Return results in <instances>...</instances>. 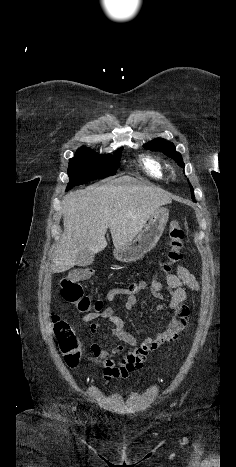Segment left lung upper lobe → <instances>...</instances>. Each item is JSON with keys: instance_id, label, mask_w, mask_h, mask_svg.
<instances>
[{"instance_id": "obj_1", "label": "left lung upper lobe", "mask_w": 236, "mask_h": 467, "mask_svg": "<svg viewBox=\"0 0 236 467\" xmlns=\"http://www.w3.org/2000/svg\"><path fill=\"white\" fill-rule=\"evenodd\" d=\"M144 147L146 149H149V150H160L165 155H167L168 157L172 158L175 162H177V164L180 167L184 168V166H185L184 163H183L181 154L175 151V146L171 142H168V141H166L164 139L158 138V139H155V140L145 144ZM190 187H191L192 199L195 201V199H194V190H193L191 185H190Z\"/></svg>"}]
</instances>
